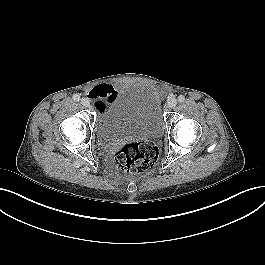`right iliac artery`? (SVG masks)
<instances>
[{"label":"right iliac artery","mask_w":265,"mask_h":265,"mask_svg":"<svg viewBox=\"0 0 265 265\" xmlns=\"http://www.w3.org/2000/svg\"><path fill=\"white\" fill-rule=\"evenodd\" d=\"M73 100L74 101H79L80 100V96L78 94H74L73 95Z\"/></svg>","instance_id":"82829eb1"}]
</instances>
